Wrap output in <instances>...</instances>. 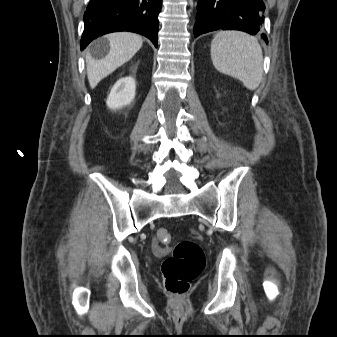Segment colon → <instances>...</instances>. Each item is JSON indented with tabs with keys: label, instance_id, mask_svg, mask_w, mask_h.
<instances>
[{
	"label": "colon",
	"instance_id": "obj_1",
	"mask_svg": "<svg viewBox=\"0 0 337 337\" xmlns=\"http://www.w3.org/2000/svg\"><path fill=\"white\" fill-rule=\"evenodd\" d=\"M171 242V233L159 229L153 247L155 251L163 252ZM204 266L205 254L202 248L193 240L179 241L161 266L166 291L172 295L185 294Z\"/></svg>",
	"mask_w": 337,
	"mask_h": 337
}]
</instances>
